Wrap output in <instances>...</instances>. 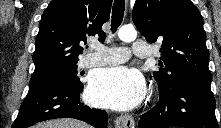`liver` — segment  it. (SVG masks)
Listing matches in <instances>:
<instances>
[{
  "instance_id": "1",
  "label": "liver",
  "mask_w": 221,
  "mask_h": 128,
  "mask_svg": "<svg viewBox=\"0 0 221 128\" xmlns=\"http://www.w3.org/2000/svg\"><path fill=\"white\" fill-rule=\"evenodd\" d=\"M33 128H90L89 125L76 119H53L39 123Z\"/></svg>"
}]
</instances>
